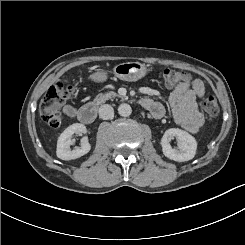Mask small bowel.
Wrapping results in <instances>:
<instances>
[{
  "label": "small bowel",
  "instance_id": "small-bowel-1",
  "mask_svg": "<svg viewBox=\"0 0 245 245\" xmlns=\"http://www.w3.org/2000/svg\"><path fill=\"white\" fill-rule=\"evenodd\" d=\"M205 94V87L200 79L187 76L180 82L169 97V103L175 122L190 133L196 134L204 125V115L198 109V100ZM142 104L155 117H162L165 113L163 105L150 98H144ZM63 112L70 118H77L78 111L70 105L63 108Z\"/></svg>",
  "mask_w": 245,
  "mask_h": 245
}]
</instances>
